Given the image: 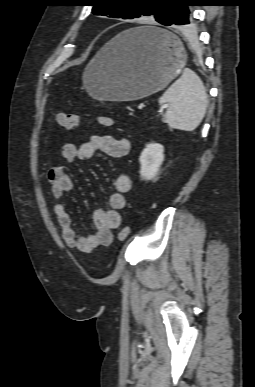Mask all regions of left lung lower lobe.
Wrapping results in <instances>:
<instances>
[{
    "instance_id": "1",
    "label": "left lung lower lobe",
    "mask_w": 255,
    "mask_h": 387,
    "mask_svg": "<svg viewBox=\"0 0 255 387\" xmlns=\"http://www.w3.org/2000/svg\"><path fill=\"white\" fill-rule=\"evenodd\" d=\"M192 0H186L176 5L175 12L171 19L163 25L176 26V25H189L192 22L191 12L189 6H193ZM142 37L150 40H159L161 34L156 31H146L140 34Z\"/></svg>"
}]
</instances>
